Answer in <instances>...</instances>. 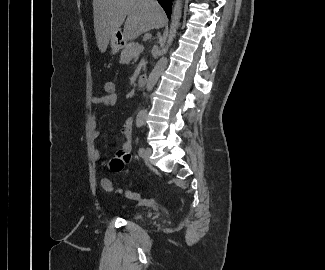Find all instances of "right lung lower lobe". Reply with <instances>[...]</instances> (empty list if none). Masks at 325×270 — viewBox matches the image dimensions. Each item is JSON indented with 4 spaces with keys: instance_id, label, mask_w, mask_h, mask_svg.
<instances>
[{
    "instance_id": "98d812e1",
    "label": "right lung lower lobe",
    "mask_w": 325,
    "mask_h": 270,
    "mask_svg": "<svg viewBox=\"0 0 325 270\" xmlns=\"http://www.w3.org/2000/svg\"><path fill=\"white\" fill-rule=\"evenodd\" d=\"M158 2L161 4L163 9L165 10L168 18L171 16V5H172V0H158Z\"/></svg>"
}]
</instances>
